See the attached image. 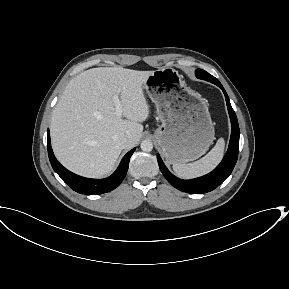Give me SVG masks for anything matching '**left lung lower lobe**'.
Listing matches in <instances>:
<instances>
[{"label":"left lung lower lobe","mask_w":289,"mask_h":289,"mask_svg":"<svg viewBox=\"0 0 289 289\" xmlns=\"http://www.w3.org/2000/svg\"><path fill=\"white\" fill-rule=\"evenodd\" d=\"M219 87L223 90V93L225 95L228 112L232 124L229 148L222 162L212 172L205 176L192 180H182L172 175L164 165L160 156L157 155L159 168L165 178L170 182L171 185L183 192L200 194L214 190L228 178L236 164L239 151V125L236 114L230 104L226 91L221 84L219 85Z\"/></svg>","instance_id":"0a47b994"}]
</instances>
